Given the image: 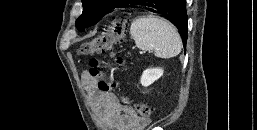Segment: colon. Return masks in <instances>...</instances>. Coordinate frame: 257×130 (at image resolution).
Segmentation results:
<instances>
[{
    "instance_id": "colon-1",
    "label": "colon",
    "mask_w": 257,
    "mask_h": 130,
    "mask_svg": "<svg viewBox=\"0 0 257 130\" xmlns=\"http://www.w3.org/2000/svg\"><path fill=\"white\" fill-rule=\"evenodd\" d=\"M126 30V19L118 18L114 19L110 25L98 36L93 39L84 42L79 52L82 55H94L96 53L102 52L105 49L109 48L113 43L120 41ZM116 65L124 67L126 65V60L122 55H119L115 58ZM89 73L91 76L98 78V88L101 91L107 92L110 90H115L118 87V84L113 79H107L105 73L102 69V63L96 59L92 58L89 62ZM122 101L125 104L131 103V100L128 96H123ZM138 115L145 119L149 120L150 116L153 113L152 108L144 103H136L134 105Z\"/></svg>"
}]
</instances>
